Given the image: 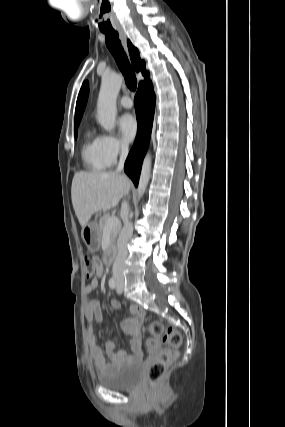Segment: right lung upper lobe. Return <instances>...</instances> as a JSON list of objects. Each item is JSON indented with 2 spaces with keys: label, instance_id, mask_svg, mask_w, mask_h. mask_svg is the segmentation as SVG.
<instances>
[{
  "label": "right lung upper lobe",
  "instance_id": "1",
  "mask_svg": "<svg viewBox=\"0 0 285 427\" xmlns=\"http://www.w3.org/2000/svg\"><path fill=\"white\" fill-rule=\"evenodd\" d=\"M127 44H128L129 54H130L131 61H132L134 68L136 69V71H141L142 74L146 78H148L149 73L145 69V62L141 60L137 48H135L129 40H128ZM87 97H88V83L84 82V84L82 85V88L80 90V93L78 95V99H77V103H76L75 128H77L79 123H80V120H81V117H82V114H83V111H84V108L86 105Z\"/></svg>",
  "mask_w": 285,
  "mask_h": 427
}]
</instances>
